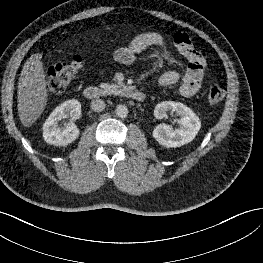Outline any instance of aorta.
<instances>
[{
  "mask_svg": "<svg viewBox=\"0 0 263 263\" xmlns=\"http://www.w3.org/2000/svg\"><path fill=\"white\" fill-rule=\"evenodd\" d=\"M116 115L120 118H125L128 115V108L125 105H118L116 107Z\"/></svg>",
  "mask_w": 263,
  "mask_h": 263,
  "instance_id": "1",
  "label": "aorta"
}]
</instances>
